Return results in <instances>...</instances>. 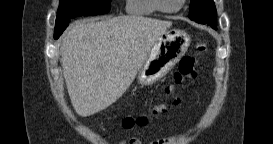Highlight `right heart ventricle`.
Here are the masks:
<instances>
[{"label": "right heart ventricle", "mask_w": 273, "mask_h": 144, "mask_svg": "<svg viewBox=\"0 0 273 144\" xmlns=\"http://www.w3.org/2000/svg\"><path fill=\"white\" fill-rule=\"evenodd\" d=\"M126 9L129 14L142 17L151 16L157 11L154 0H128Z\"/></svg>", "instance_id": "e07e8e85"}]
</instances>
